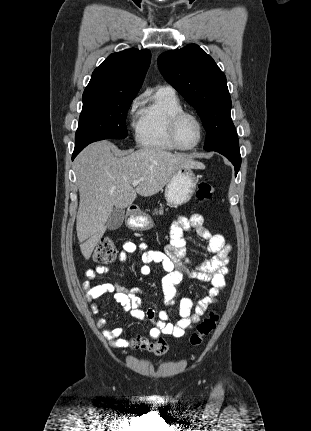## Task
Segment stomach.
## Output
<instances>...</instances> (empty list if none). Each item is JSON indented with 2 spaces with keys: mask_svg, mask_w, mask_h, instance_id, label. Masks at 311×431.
<instances>
[{
  "mask_svg": "<svg viewBox=\"0 0 311 431\" xmlns=\"http://www.w3.org/2000/svg\"><path fill=\"white\" fill-rule=\"evenodd\" d=\"M197 184L198 178H196L192 168H182V170L176 172L171 182L166 184L164 192V198L168 206L178 208V206H184V204L190 202L196 192ZM125 223L129 229H138V231L151 229L154 225L152 217L145 214V212L126 217Z\"/></svg>",
  "mask_w": 311,
  "mask_h": 431,
  "instance_id": "obj_1",
  "label": "stomach"
}]
</instances>
